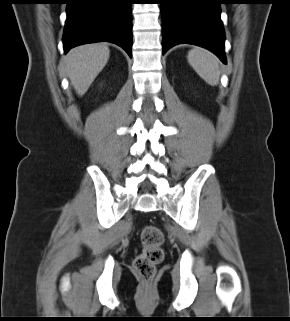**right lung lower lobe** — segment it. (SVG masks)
Segmentation results:
<instances>
[{
  "instance_id": "right-lung-lower-lobe-1",
  "label": "right lung lower lobe",
  "mask_w": 290,
  "mask_h": 321,
  "mask_svg": "<svg viewBox=\"0 0 290 321\" xmlns=\"http://www.w3.org/2000/svg\"><path fill=\"white\" fill-rule=\"evenodd\" d=\"M131 0H68L64 52L93 42L121 46L132 57Z\"/></svg>"
}]
</instances>
